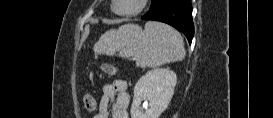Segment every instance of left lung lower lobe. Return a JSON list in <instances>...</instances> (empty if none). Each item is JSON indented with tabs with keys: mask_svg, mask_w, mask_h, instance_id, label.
Segmentation results:
<instances>
[{
	"mask_svg": "<svg viewBox=\"0 0 273 118\" xmlns=\"http://www.w3.org/2000/svg\"><path fill=\"white\" fill-rule=\"evenodd\" d=\"M142 19L160 21L175 27L191 44L194 35L191 0H162L154 11L147 13Z\"/></svg>",
	"mask_w": 273,
	"mask_h": 118,
	"instance_id": "left-lung-lower-lobe-1",
	"label": "left lung lower lobe"
}]
</instances>
